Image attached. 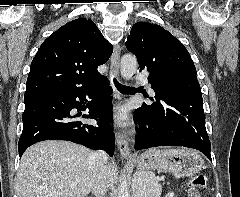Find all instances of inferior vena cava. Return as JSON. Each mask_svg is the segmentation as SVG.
Segmentation results:
<instances>
[{"label": "inferior vena cava", "instance_id": "inferior-vena-cava-1", "mask_svg": "<svg viewBox=\"0 0 240 197\" xmlns=\"http://www.w3.org/2000/svg\"><path fill=\"white\" fill-rule=\"evenodd\" d=\"M92 159L95 164V175L92 183V192L95 197H105L108 190L107 170L108 155L103 150L93 152Z\"/></svg>", "mask_w": 240, "mask_h": 197}]
</instances>
